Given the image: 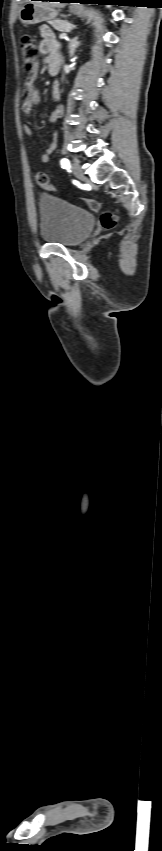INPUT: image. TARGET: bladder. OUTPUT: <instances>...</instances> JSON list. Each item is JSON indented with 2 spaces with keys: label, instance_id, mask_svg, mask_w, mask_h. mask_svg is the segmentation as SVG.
<instances>
[{
  "label": "bladder",
  "instance_id": "1",
  "mask_svg": "<svg viewBox=\"0 0 162 851\" xmlns=\"http://www.w3.org/2000/svg\"><path fill=\"white\" fill-rule=\"evenodd\" d=\"M38 208L40 236L47 243L75 246L93 230V214L50 193L40 195Z\"/></svg>",
  "mask_w": 162,
  "mask_h": 851
}]
</instances>
